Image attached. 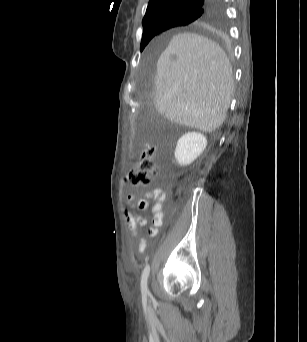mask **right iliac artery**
Wrapping results in <instances>:
<instances>
[{"label":"right iliac artery","instance_id":"1","mask_svg":"<svg viewBox=\"0 0 307 342\" xmlns=\"http://www.w3.org/2000/svg\"><path fill=\"white\" fill-rule=\"evenodd\" d=\"M149 272H150V267H149V265H146V267L144 268V270L142 272V276H141V291H142L144 303H145V299L147 297V294L149 293L148 287H147V279H148Z\"/></svg>","mask_w":307,"mask_h":342}]
</instances>
